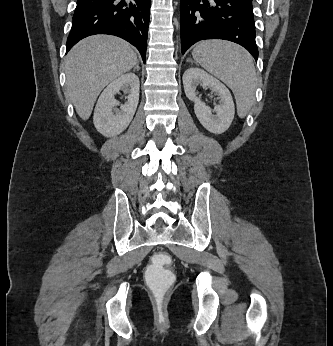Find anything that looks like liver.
Wrapping results in <instances>:
<instances>
[{"label": "liver", "mask_w": 333, "mask_h": 346, "mask_svg": "<svg viewBox=\"0 0 333 346\" xmlns=\"http://www.w3.org/2000/svg\"><path fill=\"white\" fill-rule=\"evenodd\" d=\"M137 62L131 45L118 37L93 35L77 43L65 58L67 95L77 114L89 119L102 89Z\"/></svg>", "instance_id": "liver-1"}]
</instances>
